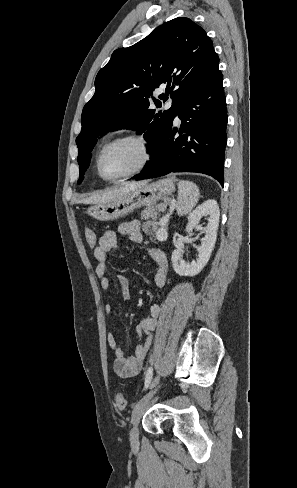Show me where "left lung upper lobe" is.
Instances as JSON below:
<instances>
[{
    "label": "left lung upper lobe",
    "mask_w": 297,
    "mask_h": 488,
    "mask_svg": "<svg viewBox=\"0 0 297 488\" xmlns=\"http://www.w3.org/2000/svg\"><path fill=\"white\" fill-rule=\"evenodd\" d=\"M218 66L211 39L189 18L170 20L135 45L115 50L98 72L95 94L83 108L76 138L80 177L90 164L96 138L105 130L144 132L155 157L181 107L216 77ZM159 86L165 87L159 96L163 102L173 99L163 113L157 109L162 102L153 97ZM151 99L157 108L150 107Z\"/></svg>",
    "instance_id": "left-lung-upper-lobe-1"
}]
</instances>
